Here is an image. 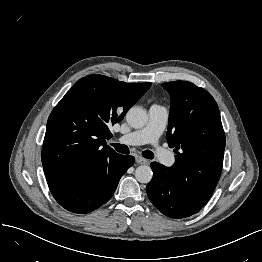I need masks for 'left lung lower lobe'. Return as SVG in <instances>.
Instances as JSON below:
<instances>
[{
	"label": "left lung lower lobe",
	"mask_w": 262,
	"mask_h": 262,
	"mask_svg": "<svg viewBox=\"0 0 262 262\" xmlns=\"http://www.w3.org/2000/svg\"><path fill=\"white\" fill-rule=\"evenodd\" d=\"M153 178L146 187L152 204L164 215L181 219L189 217L203 207L195 201L170 176V170L158 162H152Z\"/></svg>",
	"instance_id": "0a47b994"
}]
</instances>
